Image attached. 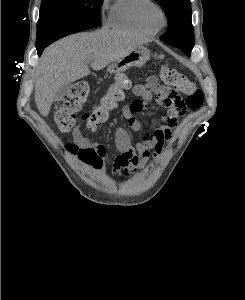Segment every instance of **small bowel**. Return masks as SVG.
Listing matches in <instances>:
<instances>
[{
	"label": "small bowel",
	"mask_w": 245,
	"mask_h": 300,
	"mask_svg": "<svg viewBox=\"0 0 245 300\" xmlns=\"http://www.w3.org/2000/svg\"><path fill=\"white\" fill-rule=\"evenodd\" d=\"M158 84L155 78H150L146 86L135 85L133 93L143 103L141 110L132 108L131 103L122 108V115L125 118L129 129L139 132L142 129L141 122L135 117V112H140L145 108V104L152 100V91H155L156 100L159 104L167 108V113L161 118L159 124L152 125L143 135L139 142L133 143L130 134L123 127H118L115 132V145L118 154L114 160V174L147 166L148 163L156 159L162 152L164 145L170 140L172 130L177 126L180 117L185 115L187 107L184 101L172 92L152 86ZM74 140L81 148H88L94 152L95 162L93 165L99 167L105 156V148L98 142L82 136L80 128L73 131Z\"/></svg>",
	"instance_id": "c3829d8e"
}]
</instances>
